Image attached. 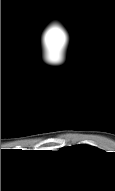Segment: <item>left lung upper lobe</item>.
I'll return each mask as SVG.
<instances>
[{
	"label": "left lung upper lobe",
	"instance_id": "obj_1",
	"mask_svg": "<svg viewBox=\"0 0 115 191\" xmlns=\"http://www.w3.org/2000/svg\"><path fill=\"white\" fill-rule=\"evenodd\" d=\"M62 149L76 153V154L86 155V156H94V155L103 153L102 150H100L96 147H93V146H89V145H74V146L65 147Z\"/></svg>",
	"mask_w": 115,
	"mask_h": 191
}]
</instances>
